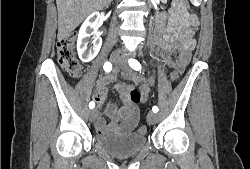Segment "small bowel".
<instances>
[{"label":"small bowel","mask_w":250,"mask_h":169,"mask_svg":"<svg viewBox=\"0 0 250 169\" xmlns=\"http://www.w3.org/2000/svg\"><path fill=\"white\" fill-rule=\"evenodd\" d=\"M182 23L181 17H177L175 21L176 27ZM188 29L172 43H165L162 41L160 33L156 34L157 46V62L159 66L164 68L178 67V72L183 73L188 65L191 53L195 47V40L193 39L194 29L198 25V20L195 16L187 18ZM177 53V58L173 62L171 57ZM124 78L129 83L120 80L117 72L102 76L97 81L96 89L94 92V101L99 108L103 107L108 98V85L115 83V90L119 95L121 107L116 109L114 105H108V111L111 122L106 124L103 117H99L96 121L95 128L99 134L107 132L116 133H130L139 124L140 111L138 107L139 102H146L149 98L153 78H144L134 72H125ZM138 87L142 93V98L139 102H133L130 98V91Z\"/></svg>","instance_id":"c3829d8e"}]
</instances>
